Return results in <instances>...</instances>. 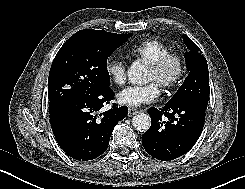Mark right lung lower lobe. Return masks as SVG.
<instances>
[{"mask_svg":"<svg viewBox=\"0 0 245 189\" xmlns=\"http://www.w3.org/2000/svg\"><path fill=\"white\" fill-rule=\"evenodd\" d=\"M114 99L110 86H99L90 94L52 100L50 122L54 136L67 155L82 161L97 158L107 147L114 127L128 113L126 106H113L99 113Z\"/></svg>","mask_w":245,"mask_h":189,"instance_id":"1","label":"right lung lower lobe"}]
</instances>
